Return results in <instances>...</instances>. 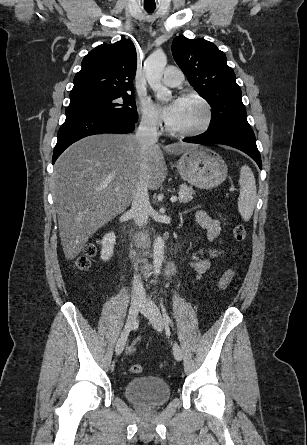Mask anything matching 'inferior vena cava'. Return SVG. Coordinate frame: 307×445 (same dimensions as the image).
I'll use <instances>...</instances> for the list:
<instances>
[{
	"label": "inferior vena cava",
	"instance_id": "inferior-vena-cava-1",
	"mask_svg": "<svg viewBox=\"0 0 307 445\" xmlns=\"http://www.w3.org/2000/svg\"><path fill=\"white\" fill-rule=\"evenodd\" d=\"M159 134L160 132H158L156 118H154V116H142L135 134V138L138 140L139 144H141L142 150H146L147 146H150V144H155ZM146 168L147 164L146 162H143L140 168V172L143 176H141L139 182H137V188L136 192H134L131 206V214H133L134 223L139 229H141L143 225H146L148 212L151 208L148 184L145 178ZM134 279L131 302L133 304H140L142 302V297H145V289L138 277H134Z\"/></svg>",
	"mask_w": 307,
	"mask_h": 445
}]
</instances>
